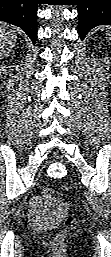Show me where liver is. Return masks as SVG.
Here are the masks:
<instances>
[{"label": "liver", "instance_id": "liver-1", "mask_svg": "<svg viewBox=\"0 0 111 257\" xmlns=\"http://www.w3.org/2000/svg\"><path fill=\"white\" fill-rule=\"evenodd\" d=\"M17 31L15 27L2 24L0 27V56L5 57L15 46Z\"/></svg>", "mask_w": 111, "mask_h": 257}]
</instances>
